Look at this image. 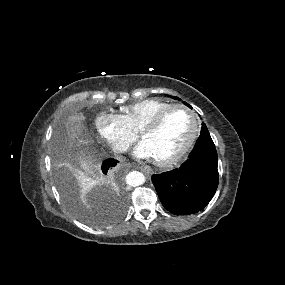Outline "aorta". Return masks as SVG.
<instances>
[{
  "mask_svg": "<svg viewBox=\"0 0 285 285\" xmlns=\"http://www.w3.org/2000/svg\"><path fill=\"white\" fill-rule=\"evenodd\" d=\"M126 182L128 185L136 187L145 182V176L141 172L132 171L127 175Z\"/></svg>",
  "mask_w": 285,
  "mask_h": 285,
  "instance_id": "obj_1",
  "label": "aorta"
}]
</instances>
